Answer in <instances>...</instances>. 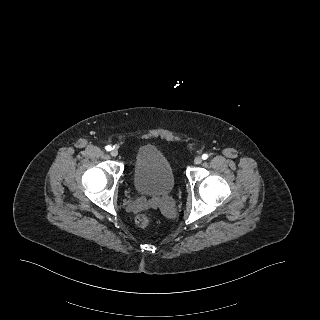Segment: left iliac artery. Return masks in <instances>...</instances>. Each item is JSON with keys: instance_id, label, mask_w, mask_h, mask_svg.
Wrapping results in <instances>:
<instances>
[{"instance_id": "left-iliac-artery-1", "label": "left iliac artery", "mask_w": 320, "mask_h": 320, "mask_svg": "<svg viewBox=\"0 0 320 320\" xmlns=\"http://www.w3.org/2000/svg\"><path fill=\"white\" fill-rule=\"evenodd\" d=\"M207 158H208V154H203V155H202V159H203V160H206Z\"/></svg>"}]
</instances>
